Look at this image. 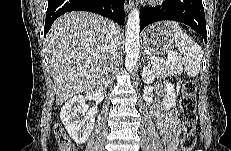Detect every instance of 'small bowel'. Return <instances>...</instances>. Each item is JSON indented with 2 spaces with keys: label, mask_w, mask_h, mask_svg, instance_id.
<instances>
[{
  "label": "small bowel",
  "mask_w": 231,
  "mask_h": 151,
  "mask_svg": "<svg viewBox=\"0 0 231 151\" xmlns=\"http://www.w3.org/2000/svg\"><path fill=\"white\" fill-rule=\"evenodd\" d=\"M161 93L164 94V91ZM152 117L157 125L166 151H176L181 126L176 120L174 112L158 103L152 110Z\"/></svg>",
  "instance_id": "c3829d8e"
}]
</instances>
